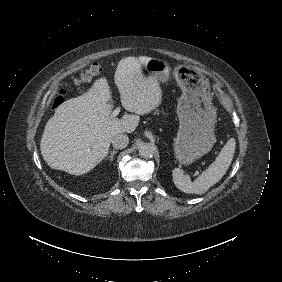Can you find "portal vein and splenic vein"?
Here are the masks:
<instances>
[{"mask_svg": "<svg viewBox=\"0 0 282 282\" xmlns=\"http://www.w3.org/2000/svg\"><path fill=\"white\" fill-rule=\"evenodd\" d=\"M119 112H120V108L117 107V108L112 112L111 117H116V116L119 114ZM198 174H199L198 172L195 173V175H198Z\"/></svg>", "mask_w": 282, "mask_h": 282, "instance_id": "portal-vein-and-splenic-vein-1", "label": "portal vein and splenic vein"}]
</instances>
